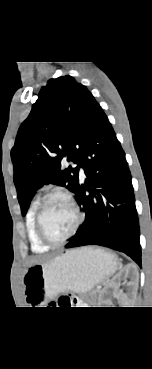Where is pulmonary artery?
<instances>
[{
  "instance_id": "e3ab8cb5",
  "label": "pulmonary artery",
  "mask_w": 152,
  "mask_h": 369,
  "mask_svg": "<svg viewBox=\"0 0 152 369\" xmlns=\"http://www.w3.org/2000/svg\"><path fill=\"white\" fill-rule=\"evenodd\" d=\"M80 174H81V176H84V170H83L82 167H80Z\"/></svg>"
}]
</instances>
